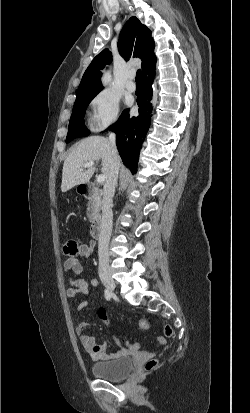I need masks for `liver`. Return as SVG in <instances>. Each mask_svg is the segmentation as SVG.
<instances>
[{"instance_id": "6515ba94", "label": "liver", "mask_w": 250, "mask_h": 413, "mask_svg": "<svg viewBox=\"0 0 250 413\" xmlns=\"http://www.w3.org/2000/svg\"><path fill=\"white\" fill-rule=\"evenodd\" d=\"M101 160V171L107 180L111 170V148L109 140L102 136H90L81 140L69 153L63 164L62 192L79 184L89 182L95 168L81 170L86 163Z\"/></svg>"}]
</instances>
